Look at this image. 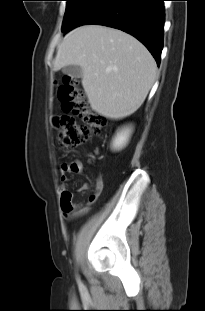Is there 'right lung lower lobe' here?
Listing matches in <instances>:
<instances>
[{
    "label": "right lung lower lobe",
    "mask_w": 205,
    "mask_h": 311,
    "mask_svg": "<svg viewBox=\"0 0 205 311\" xmlns=\"http://www.w3.org/2000/svg\"><path fill=\"white\" fill-rule=\"evenodd\" d=\"M163 1L90 0L69 30L86 24L120 29L142 42L159 65L163 48Z\"/></svg>",
    "instance_id": "98d812e1"
}]
</instances>
